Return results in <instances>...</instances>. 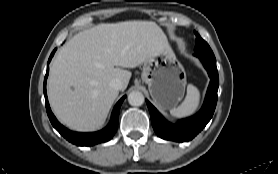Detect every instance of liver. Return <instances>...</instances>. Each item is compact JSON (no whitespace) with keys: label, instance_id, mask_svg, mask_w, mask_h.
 I'll use <instances>...</instances> for the list:
<instances>
[{"label":"liver","instance_id":"obj_1","mask_svg":"<svg viewBox=\"0 0 278 174\" xmlns=\"http://www.w3.org/2000/svg\"><path fill=\"white\" fill-rule=\"evenodd\" d=\"M171 50L163 30L153 21L103 23L72 37L50 67L48 98L67 127L81 132L105 123L118 91L109 83L119 78L127 88L135 68L148 58Z\"/></svg>","mask_w":278,"mask_h":174}]
</instances>
